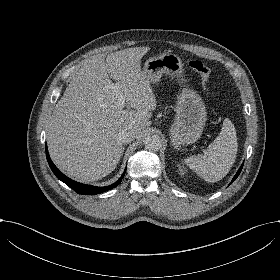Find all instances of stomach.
<instances>
[{
    "mask_svg": "<svg viewBox=\"0 0 280 280\" xmlns=\"http://www.w3.org/2000/svg\"><path fill=\"white\" fill-rule=\"evenodd\" d=\"M181 61L172 53L151 57L143 65L142 74L148 83H158L165 75L178 74ZM176 117L172 128L176 144H190L198 140L206 121V111L202 99L193 90L184 89L178 96Z\"/></svg>",
    "mask_w": 280,
    "mask_h": 280,
    "instance_id": "obj_1",
    "label": "stomach"
}]
</instances>
